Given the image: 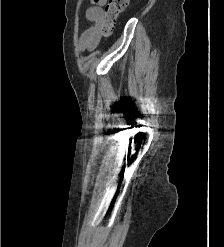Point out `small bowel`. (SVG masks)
I'll list each match as a JSON object with an SVG mask.
<instances>
[{
    "mask_svg": "<svg viewBox=\"0 0 224 247\" xmlns=\"http://www.w3.org/2000/svg\"><path fill=\"white\" fill-rule=\"evenodd\" d=\"M106 0H93L94 6L87 11V19L92 25L87 28L81 36L80 43L84 50L91 51L95 49L100 40V29L99 25L103 16L101 6Z\"/></svg>",
    "mask_w": 224,
    "mask_h": 247,
    "instance_id": "obj_1",
    "label": "small bowel"
}]
</instances>
